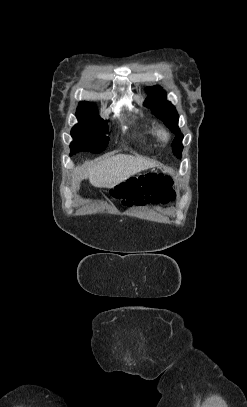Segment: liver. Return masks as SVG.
Listing matches in <instances>:
<instances>
[{
    "instance_id": "6515ba94",
    "label": "liver",
    "mask_w": 247,
    "mask_h": 407,
    "mask_svg": "<svg viewBox=\"0 0 247 407\" xmlns=\"http://www.w3.org/2000/svg\"><path fill=\"white\" fill-rule=\"evenodd\" d=\"M157 165L155 161L141 157L116 155L90 164L85 175L88 176L93 186L109 188L118 185L136 173ZM80 177L82 178V174Z\"/></svg>"
}]
</instances>
